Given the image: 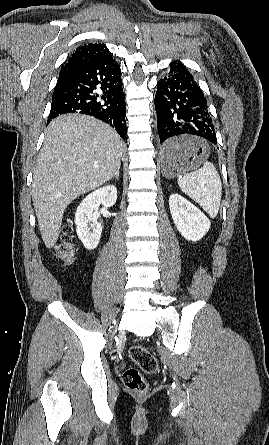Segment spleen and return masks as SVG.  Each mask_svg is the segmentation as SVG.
<instances>
[{
    "label": "spleen",
    "instance_id": "1",
    "mask_svg": "<svg viewBox=\"0 0 269 445\" xmlns=\"http://www.w3.org/2000/svg\"><path fill=\"white\" fill-rule=\"evenodd\" d=\"M178 185L211 218L217 216L221 202L222 184L220 176L211 162L206 161L202 168L178 176Z\"/></svg>",
    "mask_w": 269,
    "mask_h": 445
}]
</instances>
